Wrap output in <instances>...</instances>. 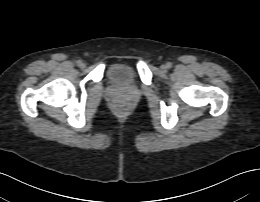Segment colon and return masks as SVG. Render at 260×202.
I'll return each instance as SVG.
<instances>
[{
  "mask_svg": "<svg viewBox=\"0 0 260 202\" xmlns=\"http://www.w3.org/2000/svg\"><path fill=\"white\" fill-rule=\"evenodd\" d=\"M117 109L120 113H125L127 111V107L124 104H118Z\"/></svg>",
  "mask_w": 260,
  "mask_h": 202,
  "instance_id": "obj_1",
  "label": "colon"
}]
</instances>
